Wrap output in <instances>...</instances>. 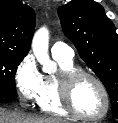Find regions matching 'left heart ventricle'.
Masks as SVG:
<instances>
[{
	"label": "left heart ventricle",
	"mask_w": 118,
	"mask_h": 123,
	"mask_svg": "<svg viewBox=\"0 0 118 123\" xmlns=\"http://www.w3.org/2000/svg\"><path fill=\"white\" fill-rule=\"evenodd\" d=\"M72 98L77 110L86 116H98L104 111L102 91L90 78H82L75 84Z\"/></svg>",
	"instance_id": "b2bd125f"
}]
</instances>
